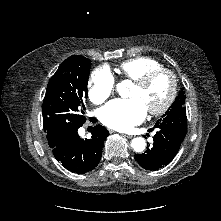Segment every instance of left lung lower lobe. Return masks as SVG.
<instances>
[{
    "mask_svg": "<svg viewBox=\"0 0 221 221\" xmlns=\"http://www.w3.org/2000/svg\"><path fill=\"white\" fill-rule=\"evenodd\" d=\"M154 128L157 132L153 137V144H149L144 153L136 154L135 160L144 169L155 171L172 161L186 133L166 123H159Z\"/></svg>",
    "mask_w": 221,
    "mask_h": 221,
    "instance_id": "obj_1",
    "label": "left lung lower lobe"
}]
</instances>
